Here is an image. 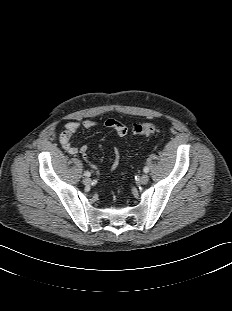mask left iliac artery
I'll use <instances>...</instances> for the list:
<instances>
[{"label":"left iliac artery","instance_id":"left-iliac-artery-1","mask_svg":"<svg viewBox=\"0 0 232 311\" xmlns=\"http://www.w3.org/2000/svg\"><path fill=\"white\" fill-rule=\"evenodd\" d=\"M143 171H144L145 173H147V172H149V168H148L147 166H145L144 169H143Z\"/></svg>","mask_w":232,"mask_h":311}]
</instances>
